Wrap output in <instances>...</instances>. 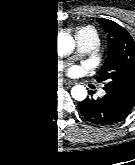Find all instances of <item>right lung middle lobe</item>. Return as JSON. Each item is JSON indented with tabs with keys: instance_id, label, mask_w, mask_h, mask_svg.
<instances>
[{
	"instance_id": "dd1d6c3e",
	"label": "right lung middle lobe",
	"mask_w": 135,
	"mask_h": 165,
	"mask_svg": "<svg viewBox=\"0 0 135 165\" xmlns=\"http://www.w3.org/2000/svg\"><path fill=\"white\" fill-rule=\"evenodd\" d=\"M35 72L34 69L22 68L11 61L3 60L0 63V80L2 81H22L29 79L30 75Z\"/></svg>"
}]
</instances>
